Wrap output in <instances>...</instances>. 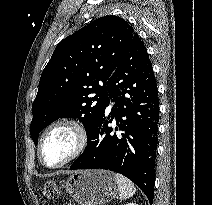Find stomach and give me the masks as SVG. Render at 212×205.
Returning <instances> with one entry per match:
<instances>
[{
  "instance_id": "obj_1",
  "label": "stomach",
  "mask_w": 212,
  "mask_h": 205,
  "mask_svg": "<svg viewBox=\"0 0 212 205\" xmlns=\"http://www.w3.org/2000/svg\"><path fill=\"white\" fill-rule=\"evenodd\" d=\"M62 186L80 205H103L118 194L114 174L106 170H86L71 174Z\"/></svg>"
}]
</instances>
